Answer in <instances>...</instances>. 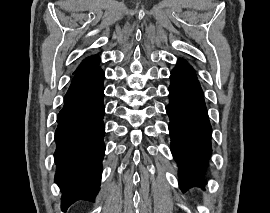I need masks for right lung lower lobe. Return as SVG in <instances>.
Here are the masks:
<instances>
[{"mask_svg":"<svg viewBox=\"0 0 270 213\" xmlns=\"http://www.w3.org/2000/svg\"><path fill=\"white\" fill-rule=\"evenodd\" d=\"M104 78L99 66L76 73L57 117L55 182L63 191L62 210L78 200L94 201L100 187Z\"/></svg>","mask_w":270,"mask_h":213,"instance_id":"1","label":"right lung lower lobe"}]
</instances>
